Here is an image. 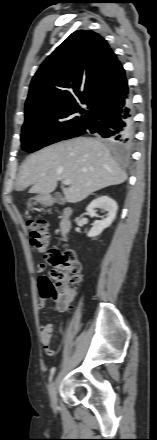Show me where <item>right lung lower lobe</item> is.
Returning a JSON list of instances; mask_svg holds the SVG:
<instances>
[{
	"instance_id": "1",
	"label": "right lung lower lobe",
	"mask_w": 157,
	"mask_h": 440,
	"mask_svg": "<svg viewBox=\"0 0 157 440\" xmlns=\"http://www.w3.org/2000/svg\"><path fill=\"white\" fill-rule=\"evenodd\" d=\"M82 134L98 133L103 138L122 147H130L134 141V124L130 98L98 112L83 126ZM81 134V135H82Z\"/></svg>"
}]
</instances>
